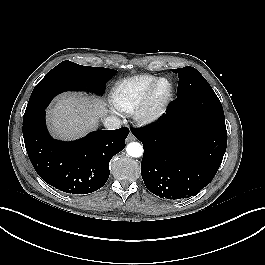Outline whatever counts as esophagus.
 Segmentation results:
<instances>
[{
  "label": "esophagus",
  "mask_w": 265,
  "mask_h": 265,
  "mask_svg": "<svg viewBox=\"0 0 265 265\" xmlns=\"http://www.w3.org/2000/svg\"><path fill=\"white\" fill-rule=\"evenodd\" d=\"M133 140H135V136L132 133H130L127 137V141H133Z\"/></svg>",
  "instance_id": "34e87169"
}]
</instances>
